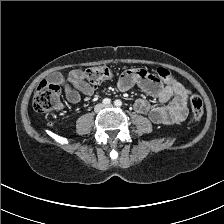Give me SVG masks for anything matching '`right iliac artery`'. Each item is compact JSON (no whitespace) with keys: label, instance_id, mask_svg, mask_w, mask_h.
Segmentation results:
<instances>
[{"label":"right iliac artery","instance_id":"right-iliac-artery-1","mask_svg":"<svg viewBox=\"0 0 224 224\" xmlns=\"http://www.w3.org/2000/svg\"><path fill=\"white\" fill-rule=\"evenodd\" d=\"M110 103H111V100L109 98L103 99V104L104 105H110Z\"/></svg>","mask_w":224,"mask_h":224}]
</instances>
